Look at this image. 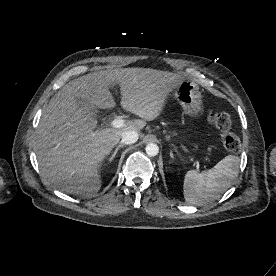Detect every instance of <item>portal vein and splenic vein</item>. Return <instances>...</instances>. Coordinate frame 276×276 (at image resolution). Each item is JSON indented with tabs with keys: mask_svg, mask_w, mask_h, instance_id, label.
Wrapping results in <instances>:
<instances>
[{
	"mask_svg": "<svg viewBox=\"0 0 276 276\" xmlns=\"http://www.w3.org/2000/svg\"><path fill=\"white\" fill-rule=\"evenodd\" d=\"M124 125V120L121 118H115L112 122H111V126L113 128H120Z\"/></svg>",
	"mask_w": 276,
	"mask_h": 276,
	"instance_id": "18ae733b",
	"label": "portal vein and splenic vein"
}]
</instances>
